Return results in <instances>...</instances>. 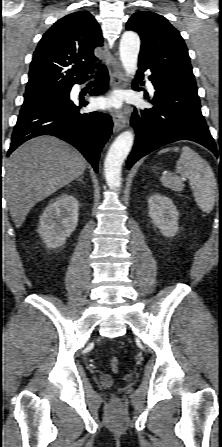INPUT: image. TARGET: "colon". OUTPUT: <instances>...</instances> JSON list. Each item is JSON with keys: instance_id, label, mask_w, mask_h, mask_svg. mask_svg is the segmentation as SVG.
<instances>
[{"instance_id": "5ec220e1", "label": "colon", "mask_w": 222, "mask_h": 447, "mask_svg": "<svg viewBox=\"0 0 222 447\" xmlns=\"http://www.w3.org/2000/svg\"><path fill=\"white\" fill-rule=\"evenodd\" d=\"M110 365L113 371H117L119 368V360L117 357H112L110 360Z\"/></svg>"}]
</instances>
